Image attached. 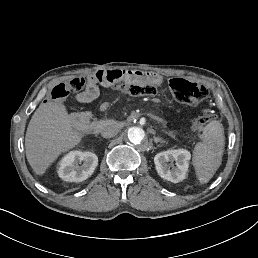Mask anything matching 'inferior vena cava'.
<instances>
[{
  "label": "inferior vena cava",
  "mask_w": 258,
  "mask_h": 258,
  "mask_svg": "<svg viewBox=\"0 0 258 258\" xmlns=\"http://www.w3.org/2000/svg\"><path fill=\"white\" fill-rule=\"evenodd\" d=\"M118 129L114 124H107L101 130V135L105 138L114 137L118 133Z\"/></svg>",
  "instance_id": "602c4592"
}]
</instances>
